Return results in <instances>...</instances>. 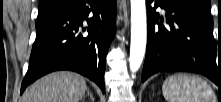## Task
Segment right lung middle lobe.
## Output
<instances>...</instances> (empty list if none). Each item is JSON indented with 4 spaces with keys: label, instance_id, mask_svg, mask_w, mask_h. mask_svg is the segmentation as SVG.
Listing matches in <instances>:
<instances>
[{
    "label": "right lung middle lobe",
    "instance_id": "right-lung-middle-lobe-1",
    "mask_svg": "<svg viewBox=\"0 0 221 102\" xmlns=\"http://www.w3.org/2000/svg\"><path fill=\"white\" fill-rule=\"evenodd\" d=\"M67 5L68 4H66L65 6H57V7H49V8L39 9L36 25H38V24L42 23L43 21L47 20L48 18L54 16L56 13H58L62 8L66 7Z\"/></svg>",
    "mask_w": 221,
    "mask_h": 102
}]
</instances>
